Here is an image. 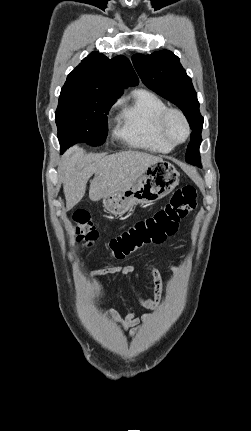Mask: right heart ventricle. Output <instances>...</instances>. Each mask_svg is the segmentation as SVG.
<instances>
[{
	"mask_svg": "<svg viewBox=\"0 0 251 431\" xmlns=\"http://www.w3.org/2000/svg\"><path fill=\"white\" fill-rule=\"evenodd\" d=\"M168 108L156 94L146 89L135 90L121 103L115 134L129 145L154 153L167 154L173 146L158 132V119Z\"/></svg>",
	"mask_w": 251,
	"mask_h": 431,
	"instance_id": "right-heart-ventricle-1",
	"label": "right heart ventricle"
}]
</instances>
